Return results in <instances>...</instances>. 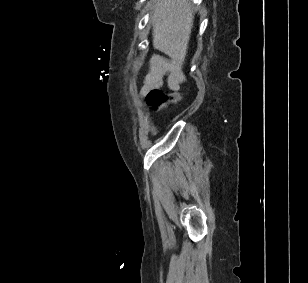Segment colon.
<instances>
[{"label":"colon","mask_w":308,"mask_h":283,"mask_svg":"<svg viewBox=\"0 0 308 283\" xmlns=\"http://www.w3.org/2000/svg\"><path fill=\"white\" fill-rule=\"evenodd\" d=\"M180 98L181 95L179 93H165L158 89L150 90L146 95L148 104L155 109H160L171 103H175Z\"/></svg>","instance_id":"obj_1"}]
</instances>
